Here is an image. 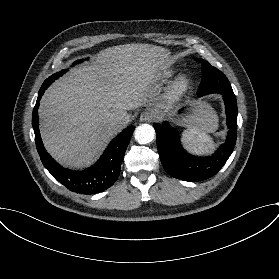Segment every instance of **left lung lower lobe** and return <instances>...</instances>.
Here are the masks:
<instances>
[{
  "instance_id": "1",
  "label": "left lung lower lobe",
  "mask_w": 279,
  "mask_h": 279,
  "mask_svg": "<svg viewBox=\"0 0 279 279\" xmlns=\"http://www.w3.org/2000/svg\"><path fill=\"white\" fill-rule=\"evenodd\" d=\"M223 97L230 130L225 142L211 156L197 157L188 154L172 127L167 123L154 124L160 160L165 171L172 177L191 182L208 179L219 172L232 154L237 139V101L235 95Z\"/></svg>"
}]
</instances>
